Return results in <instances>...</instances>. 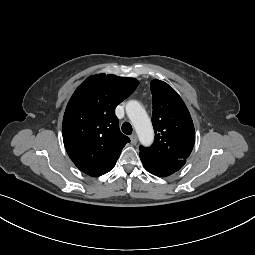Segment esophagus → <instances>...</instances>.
I'll return each instance as SVG.
<instances>
[{"instance_id":"1","label":"esophagus","mask_w":255,"mask_h":255,"mask_svg":"<svg viewBox=\"0 0 255 255\" xmlns=\"http://www.w3.org/2000/svg\"><path fill=\"white\" fill-rule=\"evenodd\" d=\"M130 140H131V143H132L133 145H135V144L137 143V141H138L137 135H136V134H132V135L130 136Z\"/></svg>"}]
</instances>
